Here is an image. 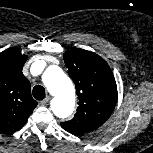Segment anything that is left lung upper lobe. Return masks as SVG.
<instances>
[{
  "label": "left lung upper lobe",
  "instance_id": "obj_1",
  "mask_svg": "<svg viewBox=\"0 0 153 153\" xmlns=\"http://www.w3.org/2000/svg\"><path fill=\"white\" fill-rule=\"evenodd\" d=\"M63 56L79 106L75 117L61 126L78 136L94 131L110 117L117 102V86L110 67L99 55L73 49Z\"/></svg>",
  "mask_w": 153,
  "mask_h": 153
}]
</instances>
